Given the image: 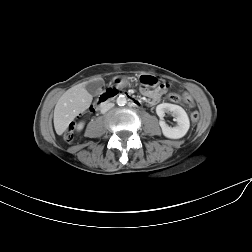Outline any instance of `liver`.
Listing matches in <instances>:
<instances>
[{"label":"liver","mask_w":252,"mask_h":252,"mask_svg":"<svg viewBox=\"0 0 252 252\" xmlns=\"http://www.w3.org/2000/svg\"><path fill=\"white\" fill-rule=\"evenodd\" d=\"M87 83L68 89L58 100L54 109V127L58 135L68 128L76 116L84 112L92 102V95L86 90Z\"/></svg>","instance_id":"6515ba94"}]
</instances>
